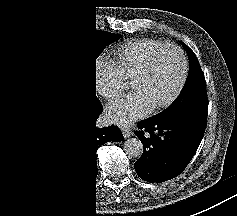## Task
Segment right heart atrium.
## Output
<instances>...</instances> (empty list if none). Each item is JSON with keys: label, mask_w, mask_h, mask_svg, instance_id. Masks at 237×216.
<instances>
[{"label": "right heart atrium", "mask_w": 237, "mask_h": 216, "mask_svg": "<svg viewBox=\"0 0 237 216\" xmlns=\"http://www.w3.org/2000/svg\"><path fill=\"white\" fill-rule=\"evenodd\" d=\"M123 75L117 65L103 62L98 66L95 88L101 95H117L122 90Z\"/></svg>", "instance_id": "obj_1"}]
</instances>
